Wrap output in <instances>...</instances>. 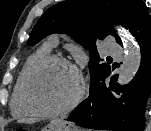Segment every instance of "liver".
Masks as SVG:
<instances>
[{
    "mask_svg": "<svg viewBox=\"0 0 151 131\" xmlns=\"http://www.w3.org/2000/svg\"><path fill=\"white\" fill-rule=\"evenodd\" d=\"M26 120L25 119H21V120H19V122H25Z\"/></svg>",
    "mask_w": 151,
    "mask_h": 131,
    "instance_id": "liver-1",
    "label": "liver"
}]
</instances>
